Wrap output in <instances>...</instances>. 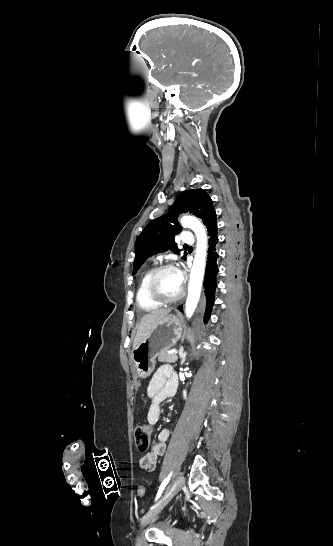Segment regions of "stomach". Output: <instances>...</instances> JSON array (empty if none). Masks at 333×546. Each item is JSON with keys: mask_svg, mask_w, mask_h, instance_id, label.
<instances>
[{"mask_svg": "<svg viewBox=\"0 0 333 546\" xmlns=\"http://www.w3.org/2000/svg\"><path fill=\"white\" fill-rule=\"evenodd\" d=\"M181 336V321L168 315L156 325L146 340L133 349L132 359L139 377L146 378L154 370L156 357L173 347Z\"/></svg>", "mask_w": 333, "mask_h": 546, "instance_id": "stomach-1", "label": "stomach"}]
</instances>
